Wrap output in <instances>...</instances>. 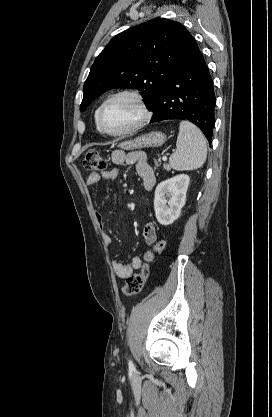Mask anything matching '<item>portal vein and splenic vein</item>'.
Here are the masks:
<instances>
[{
  "label": "portal vein and splenic vein",
  "instance_id": "1",
  "mask_svg": "<svg viewBox=\"0 0 272 417\" xmlns=\"http://www.w3.org/2000/svg\"><path fill=\"white\" fill-rule=\"evenodd\" d=\"M162 160L163 161H166L167 160V157L165 155H163Z\"/></svg>",
  "mask_w": 272,
  "mask_h": 417
}]
</instances>
